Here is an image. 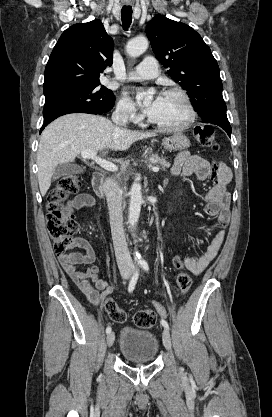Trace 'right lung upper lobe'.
I'll list each match as a JSON object with an SVG mask.
<instances>
[{
  "label": "right lung upper lobe",
  "instance_id": "cb5924a9",
  "mask_svg": "<svg viewBox=\"0 0 272 417\" xmlns=\"http://www.w3.org/2000/svg\"><path fill=\"white\" fill-rule=\"evenodd\" d=\"M113 47L101 21L72 25L63 32L50 55L43 91L100 83V74L112 64Z\"/></svg>",
  "mask_w": 272,
  "mask_h": 417
}]
</instances>
